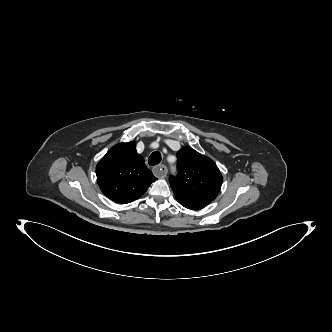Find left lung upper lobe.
Listing matches in <instances>:
<instances>
[{"label":"left lung upper lobe","instance_id":"5c2ea615","mask_svg":"<svg viewBox=\"0 0 332 332\" xmlns=\"http://www.w3.org/2000/svg\"><path fill=\"white\" fill-rule=\"evenodd\" d=\"M176 156L179 172L169 178L176 199L191 210L205 207L216 198L222 185L217 165L190 147H183Z\"/></svg>","mask_w":332,"mask_h":332}]
</instances>
